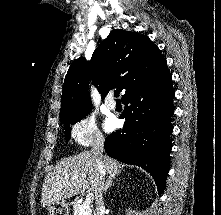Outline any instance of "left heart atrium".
I'll return each mask as SVG.
<instances>
[{
  "mask_svg": "<svg viewBox=\"0 0 221 215\" xmlns=\"http://www.w3.org/2000/svg\"><path fill=\"white\" fill-rule=\"evenodd\" d=\"M107 128L111 129L116 126V121L115 120H109L106 124Z\"/></svg>",
  "mask_w": 221,
  "mask_h": 215,
  "instance_id": "left-heart-atrium-1",
  "label": "left heart atrium"
}]
</instances>
